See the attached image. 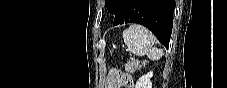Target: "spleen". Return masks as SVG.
I'll use <instances>...</instances> for the list:
<instances>
[{
  "label": "spleen",
  "mask_w": 227,
  "mask_h": 88,
  "mask_svg": "<svg viewBox=\"0 0 227 88\" xmlns=\"http://www.w3.org/2000/svg\"><path fill=\"white\" fill-rule=\"evenodd\" d=\"M122 36L127 49L136 56L147 55L151 60H159L163 56V50L154 47V35L141 25H130Z\"/></svg>",
  "instance_id": "3e777b00"
}]
</instances>
